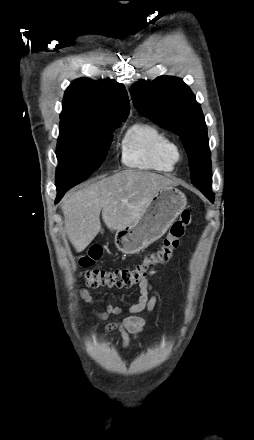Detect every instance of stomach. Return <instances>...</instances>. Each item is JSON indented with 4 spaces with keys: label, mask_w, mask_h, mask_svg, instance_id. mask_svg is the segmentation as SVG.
<instances>
[{
    "label": "stomach",
    "mask_w": 254,
    "mask_h": 440,
    "mask_svg": "<svg viewBox=\"0 0 254 440\" xmlns=\"http://www.w3.org/2000/svg\"><path fill=\"white\" fill-rule=\"evenodd\" d=\"M184 193L173 186L160 189L133 224L117 230L115 245L124 254H136L161 238L185 209Z\"/></svg>",
    "instance_id": "obj_1"
}]
</instances>
